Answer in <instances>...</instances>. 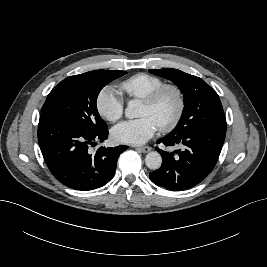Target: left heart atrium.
Returning a JSON list of instances; mask_svg holds the SVG:
<instances>
[{
  "instance_id": "obj_1",
  "label": "left heart atrium",
  "mask_w": 267,
  "mask_h": 267,
  "mask_svg": "<svg viewBox=\"0 0 267 267\" xmlns=\"http://www.w3.org/2000/svg\"><path fill=\"white\" fill-rule=\"evenodd\" d=\"M159 127L148 116L127 120L113 127L111 134L119 143L140 145L152 138Z\"/></svg>"
}]
</instances>
